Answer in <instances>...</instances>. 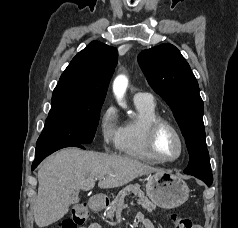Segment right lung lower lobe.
Here are the masks:
<instances>
[{
    "label": "right lung lower lobe",
    "mask_w": 238,
    "mask_h": 228,
    "mask_svg": "<svg viewBox=\"0 0 238 228\" xmlns=\"http://www.w3.org/2000/svg\"><path fill=\"white\" fill-rule=\"evenodd\" d=\"M79 147L83 148L82 144L79 143H62V144H56V145H42V146H36L35 151V160L32 164V170H34L39 163L48 155L52 154L53 152L65 148V147Z\"/></svg>",
    "instance_id": "1"
}]
</instances>
